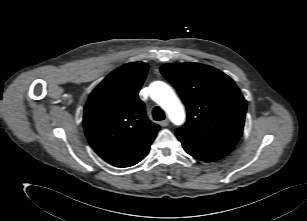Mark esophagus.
Instances as JSON below:
<instances>
[{"instance_id": "esophagus-1", "label": "esophagus", "mask_w": 307, "mask_h": 221, "mask_svg": "<svg viewBox=\"0 0 307 221\" xmlns=\"http://www.w3.org/2000/svg\"><path fill=\"white\" fill-rule=\"evenodd\" d=\"M160 126L162 127H166L168 124H169V120L168 119H165L163 121H160L159 122Z\"/></svg>"}]
</instances>
